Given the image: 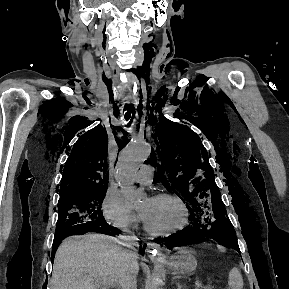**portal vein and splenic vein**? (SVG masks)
<instances>
[{
  "mask_svg": "<svg viewBox=\"0 0 289 289\" xmlns=\"http://www.w3.org/2000/svg\"><path fill=\"white\" fill-rule=\"evenodd\" d=\"M103 284L105 286V288H103V289H107L108 286H113L114 285L113 283L108 282V281H104ZM195 286H196L197 289H201L202 288V282L196 281L195 282Z\"/></svg>",
  "mask_w": 289,
  "mask_h": 289,
  "instance_id": "18ae733b",
  "label": "portal vein and splenic vein"
}]
</instances>
